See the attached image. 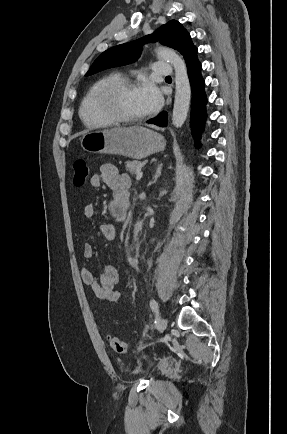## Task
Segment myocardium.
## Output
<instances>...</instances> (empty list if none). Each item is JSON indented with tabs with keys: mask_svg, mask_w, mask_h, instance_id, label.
Instances as JSON below:
<instances>
[{
	"mask_svg": "<svg viewBox=\"0 0 287 434\" xmlns=\"http://www.w3.org/2000/svg\"><path fill=\"white\" fill-rule=\"evenodd\" d=\"M137 88L135 81L122 79L104 86L97 96V107L99 111L114 123L131 124L145 120L148 114L130 117L123 115L118 108V98L121 93L128 89Z\"/></svg>",
	"mask_w": 287,
	"mask_h": 434,
	"instance_id": "obj_1",
	"label": "myocardium"
}]
</instances>
